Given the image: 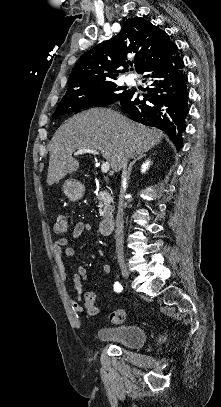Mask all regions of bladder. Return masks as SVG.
Returning a JSON list of instances; mask_svg holds the SVG:
<instances>
[{
    "label": "bladder",
    "instance_id": "31cf9c89",
    "mask_svg": "<svg viewBox=\"0 0 221 407\" xmlns=\"http://www.w3.org/2000/svg\"><path fill=\"white\" fill-rule=\"evenodd\" d=\"M96 338L104 342H113L130 349H140L148 339V333L142 326L116 325L101 327L96 332Z\"/></svg>",
    "mask_w": 221,
    "mask_h": 407
}]
</instances>
